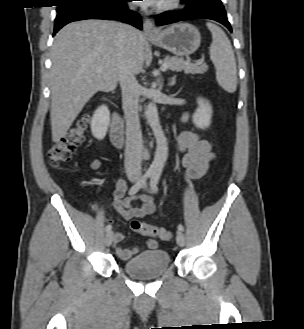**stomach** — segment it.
Instances as JSON below:
<instances>
[{
    "label": "stomach",
    "mask_w": 304,
    "mask_h": 329,
    "mask_svg": "<svg viewBox=\"0 0 304 329\" xmlns=\"http://www.w3.org/2000/svg\"><path fill=\"white\" fill-rule=\"evenodd\" d=\"M149 41L176 56H188L194 53L201 43L198 29L189 23H175L159 32Z\"/></svg>",
    "instance_id": "1"
}]
</instances>
